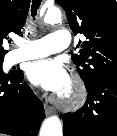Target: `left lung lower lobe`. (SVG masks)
I'll return each mask as SVG.
<instances>
[{"mask_svg": "<svg viewBox=\"0 0 117 136\" xmlns=\"http://www.w3.org/2000/svg\"><path fill=\"white\" fill-rule=\"evenodd\" d=\"M85 105L63 116L64 136H117V73L86 87Z\"/></svg>", "mask_w": 117, "mask_h": 136, "instance_id": "obj_1", "label": "left lung lower lobe"}]
</instances>
